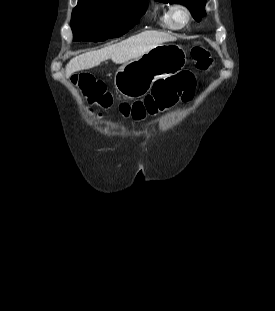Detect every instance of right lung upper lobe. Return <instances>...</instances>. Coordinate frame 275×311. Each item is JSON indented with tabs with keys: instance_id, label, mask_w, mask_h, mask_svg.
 Segmentation results:
<instances>
[{
	"instance_id": "1",
	"label": "right lung upper lobe",
	"mask_w": 275,
	"mask_h": 311,
	"mask_svg": "<svg viewBox=\"0 0 275 311\" xmlns=\"http://www.w3.org/2000/svg\"><path fill=\"white\" fill-rule=\"evenodd\" d=\"M87 1H94V0H78V3H83ZM97 1H106V0H97Z\"/></svg>"
}]
</instances>
